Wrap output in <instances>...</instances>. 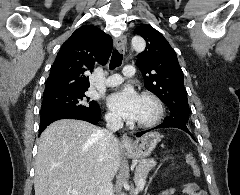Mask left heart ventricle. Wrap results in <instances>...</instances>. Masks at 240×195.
<instances>
[{
  "label": "left heart ventricle",
  "instance_id": "1",
  "mask_svg": "<svg viewBox=\"0 0 240 195\" xmlns=\"http://www.w3.org/2000/svg\"><path fill=\"white\" fill-rule=\"evenodd\" d=\"M153 113H154L153 104L149 100L141 98L139 114L136 122L137 123L143 122L150 119Z\"/></svg>",
  "mask_w": 240,
  "mask_h": 195
}]
</instances>
